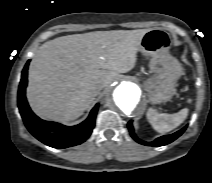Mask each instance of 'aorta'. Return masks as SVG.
Here are the masks:
<instances>
[{"mask_svg": "<svg viewBox=\"0 0 212 183\" xmlns=\"http://www.w3.org/2000/svg\"><path fill=\"white\" fill-rule=\"evenodd\" d=\"M140 96L141 90L137 84L123 81L114 88L109 100L115 108L129 115L138 106Z\"/></svg>", "mask_w": 212, "mask_h": 183, "instance_id": "aorta-1", "label": "aorta"}]
</instances>
